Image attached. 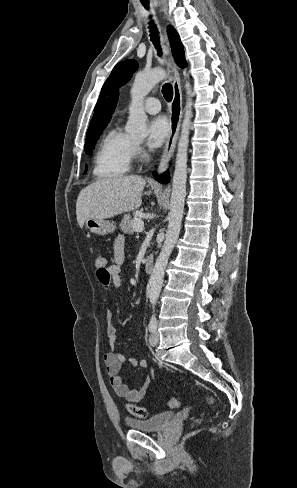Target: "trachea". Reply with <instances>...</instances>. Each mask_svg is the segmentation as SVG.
<instances>
[{"label":"trachea","mask_w":297,"mask_h":488,"mask_svg":"<svg viewBox=\"0 0 297 488\" xmlns=\"http://www.w3.org/2000/svg\"><path fill=\"white\" fill-rule=\"evenodd\" d=\"M143 6L148 9L149 4L148 2H142ZM149 31H150V39L152 43L155 45V48L158 51V55L161 56V46H160V41H159V33L156 25L151 21L149 25ZM162 94L165 98L166 101L170 102L173 98V88L172 85L169 83H166L162 87Z\"/></svg>","instance_id":"trachea-1"}]
</instances>
